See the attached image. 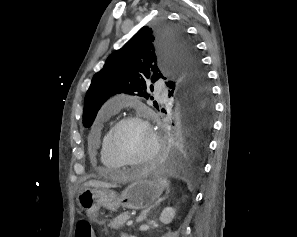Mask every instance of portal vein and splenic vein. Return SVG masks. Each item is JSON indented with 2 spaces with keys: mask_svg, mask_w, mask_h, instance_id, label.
Wrapping results in <instances>:
<instances>
[{
  "mask_svg": "<svg viewBox=\"0 0 297 237\" xmlns=\"http://www.w3.org/2000/svg\"><path fill=\"white\" fill-rule=\"evenodd\" d=\"M126 224H127V226H131L133 224V221L129 220Z\"/></svg>",
  "mask_w": 297,
  "mask_h": 237,
  "instance_id": "1",
  "label": "portal vein and splenic vein"
}]
</instances>
